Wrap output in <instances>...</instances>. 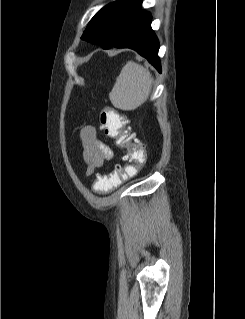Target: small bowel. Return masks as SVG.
<instances>
[{"label": "small bowel", "mask_w": 245, "mask_h": 319, "mask_svg": "<svg viewBox=\"0 0 245 319\" xmlns=\"http://www.w3.org/2000/svg\"><path fill=\"white\" fill-rule=\"evenodd\" d=\"M81 141L84 149L83 158L87 163L88 173L93 172L96 168L101 167L105 161L112 158V150L99 138L96 127H84L81 131Z\"/></svg>", "instance_id": "c3829d8e"}]
</instances>
